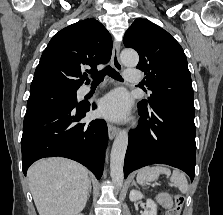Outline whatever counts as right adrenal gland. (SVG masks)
<instances>
[{"label": "right adrenal gland", "instance_id": "2a0ac1e0", "mask_svg": "<svg viewBox=\"0 0 223 215\" xmlns=\"http://www.w3.org/2000/svg\"><path fill=\"white\" fill-rule=\"evenodd\" d=\"M91 191H92V185H91V181H90V183H89V189H88L87 199H89Z\"/></svg>", "mask_w": 223, "mask_h": 215}]
</instances>
